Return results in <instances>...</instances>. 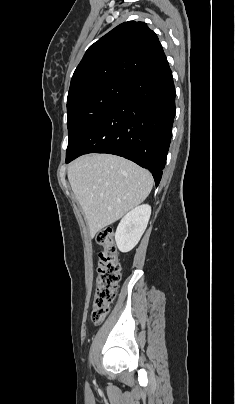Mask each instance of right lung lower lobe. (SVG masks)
<instances>
[{
  "label": "right lung lower lobe",
  "mask_w": 235,
  "mask_h": 404,
  "mask_svg": "<svg viewBox=\"0 0 235 404\" xmlns=\"http://www.w3.org/2000/svg\"><path fill=\"white\" fill-rule=\"evenodd\" d=\"M175 87L168 61L125 83L121 99L85 134L66 163L109 153L148 169L158 186L171 141Z\"/></svg>",
  "instance_id": "right-lung-lower-lobe-1"
}]
</instances>
